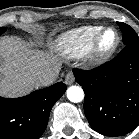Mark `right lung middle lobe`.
Masks as SVG:
<instances>
[{"mask_svg":"<svg viewBox=\"0 0 139 139\" xmlns=\"http://www.w3.org/2000/svg\"><path fill=\"white\" fill-rule=\"evenodd\" d=\"M6 31V28L5 27H1L0 28V35L2 34V33H4Z\"/></svg>","mask_w":139,"mask_h":139,"instance_id":"dd1d6c3e","label":"right lung middle lobe"}]
</instances>
